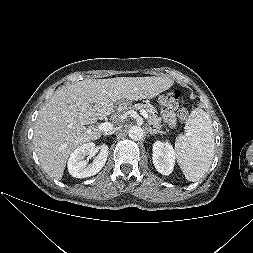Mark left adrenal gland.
I'll list each match as a JSON object with an SVG mask.
<instances>
[{
	"mask_svg": "<svg viewBox=\"0 0 253 253\" xmlns=\"http://www.w3.org/2000/svg\"><path fill=\"white\" fill-rule=\"evenodd\" d=\"M148 132L150 135L157 134V133H160V134L163 133L161 131H157L155 129H152L151 127L148 128Z\"/></svg>",
	"mask_w": 253,
	"mask_h": 253,
	"instance_id": "1",
	"label": "left adrenal gland"
}]
</instances>
